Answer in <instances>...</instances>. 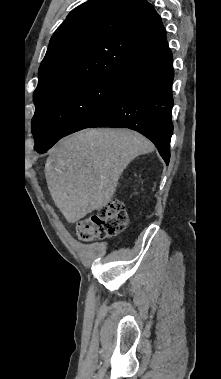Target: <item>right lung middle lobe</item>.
<instances>
[{"instance_id":"dd1d6c3e","label":"right lung middle lobe","mask_w":221,"mask_h":379,"mask_svg":"<svg viewBox=\"0 0 221 379\" xmlns=\"http://www.w3.org/2000/svg\"><path fill=\"white\" fill-rule=\"evenodd\" d=\"M119 77L118 73L96 75L34 99L35 150L93 125L110 105Z\"/></svg>"}]
</instances>
